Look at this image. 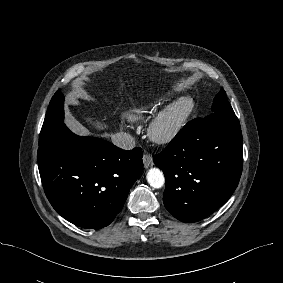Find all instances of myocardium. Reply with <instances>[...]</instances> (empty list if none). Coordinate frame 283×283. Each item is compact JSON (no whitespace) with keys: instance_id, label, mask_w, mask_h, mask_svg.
<instances>
[{"instance_id":"obj_1","label":"myocardium","mask_w":283,"mask_h":283,"mask_svg":"<svg viewBox=\"0 0 283 283\" xmlns=\"http://www.w3.org/2000/svg\"><path fill=\"white\" fill-rule=\"evenodd\" d=\"M193 107V101L187 97L166 105L151 120L148 126L149 138L158 144L171 142L186 124Z\"/></svg>"}]
</instances>
